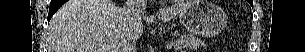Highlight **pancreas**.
Returning a JSON list of instances; mask_svg holds the SVG:
<instances>
[{
    "label": "pancreas",
    "mask_w": 305,
    "mask_h": 52,
    "mask_svg": "<svg viewBox=\"0 0 305 52\" xmlns=\"http://www.w3.org/2000/svg\"><path fill=\"white\" fill-rule=\"evenodd\" d=\"M200 45H202L201 39L195 37L192 34L181 35L175 42L176 49L178 50H181L183 48L197 49Z\"/></svg>",
    "instance_id": "cf45deb5"
}]
</instances>
